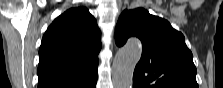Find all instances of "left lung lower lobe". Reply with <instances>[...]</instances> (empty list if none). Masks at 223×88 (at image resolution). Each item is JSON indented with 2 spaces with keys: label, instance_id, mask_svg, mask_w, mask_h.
Returning a JSON list of instances; mask_svg holds the SVG:
<instances>
[{
  "label": "left lung lower lobe",
  "instance_id": "0a47b994",
  "mask_svg": "<svg viewBox=\"0 0 223 88\" xmlns=\"http://www.w3.org/2000/svg\"><path fill=\"white\" fill-rule=\"evenodd\" d=\"M133 88H139L136 83H133Z\"/></svg>",
  "mask_w": 223,
  "mask_h": 88
}]
</instances>
